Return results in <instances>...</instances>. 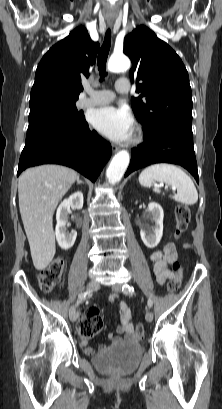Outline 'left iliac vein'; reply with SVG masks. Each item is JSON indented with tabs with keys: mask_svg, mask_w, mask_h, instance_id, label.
Instances as JSON below:
<instances>
[{
	"mask_svg": "<svg viewBox=\"0 0 222 409\" xmlns=\"http://www.w3.org/2000/svg\"><path fill=\"white\" fill-rule=\"evenodd\" d=\"M112 290L116 293H120L122 291V284L116 283L112 286ZM145 319L147 322H151L153 320V313L151 311H147L145 314Z\"/></svg>",
	"mask_w": 222,
	"mask_h": 409,
	"instance_id": "4c4485c4",
	"label": "left iliac vein"
}]
</instances>
